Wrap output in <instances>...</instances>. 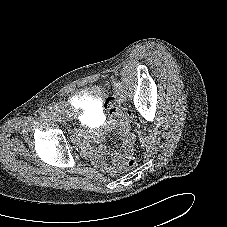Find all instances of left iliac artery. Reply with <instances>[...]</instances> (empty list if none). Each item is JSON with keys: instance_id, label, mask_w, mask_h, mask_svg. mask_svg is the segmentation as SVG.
I'll list each match as a JSON object with an SVG mask.
<instances>
[{"instance_id": "obj_1", "label": "left iliac artery", "mask_w": 227, "mask_h": 227, "mask_svg": "<svg viewBox=\"0 0 227 227\" xmlns=\"http://www.w3.org/2000/svg\"><path fill=\"white\" fill-rule=\"evenodd\" d=\"M115 87L117 90H122V85L119 82L115 83Z\"/></svg>"}]
</instances>
